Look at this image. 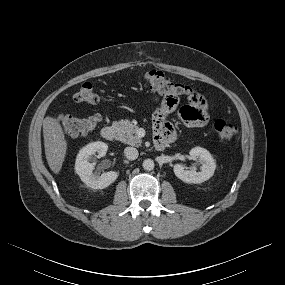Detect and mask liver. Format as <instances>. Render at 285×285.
<instances>
[{
    "label": "liver",
    "instance_id": "obj_1",
    "mask_svg": "<svg viewBox=\"0 0 285 285\" xmlns=\"http://www.w3.org/2000/svg\"><path fill=\"white\" fill-rule=\"evenodd\" d=\"M43 136L48 165L55 174H58L65 160L67 141L57 119L47 116L43 120Z\"/></svg>",
    "mask_w": 285,
    "mask_h": 285
}]
</instances>
